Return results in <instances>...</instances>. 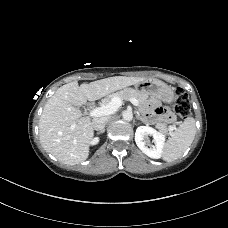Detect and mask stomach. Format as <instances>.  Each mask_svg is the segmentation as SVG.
Masks as SVG:
<instances>
[{"label":"stomach","mask_w":228,"mask_h":228,"mask_svg":"<svg viewBox=\"0 0 228 228\" xmlns=\"http://www.w3.org/2000/svg\"><path fill=\"white\" fill-rule=\"evenodd\" d=\"M135 88L147 96L155 97L166 103L173 102L175 97L173 89L158 79H145L135 84Z\"/></svg>","instance_id":"0dacf381"}]
</instances>
